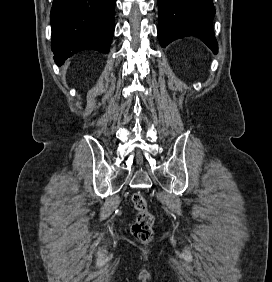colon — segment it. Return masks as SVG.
<instances>
[{
    "mask_svg": "<svg viewBox=\"0 0 272 282\" xmlns=\"http://www.w3.org/2000/svg\"><path fill=\"white\" fill-rule=\"evenodd\" d=\"M132 204L136 211V218L132 224V233L138 241L147 243L152 238L154 216L149 209L147 199L141 192L133 194Z\"/></svg>",
    "mask_w": 272,
    "mask_h": 282,
    "instance_id": "obj_1",
    "label": "colon"
}]
</instances>
